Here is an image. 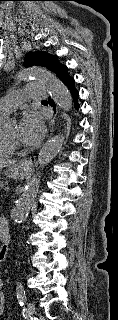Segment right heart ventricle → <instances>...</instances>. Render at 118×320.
<instances>
[{
	"label": "right heart ventricle",
	"instance_id": "1",
	"mask_svg": "<svg viewBox=\"0 0 118 320\" xmlns=\"http://www.w3.org/2000/svg\"><path fill=\"white\" fill-rule=\"evenodd\" d=\"M5 115L0 113V130H1V125L3 123V120L5 119ZM13 152V149L10 148L2 139L1 134H0V157H5L10 155Z\"/></svg>",
	"mask_w": 118,
	"mask_h": 320
}]
</instances>
